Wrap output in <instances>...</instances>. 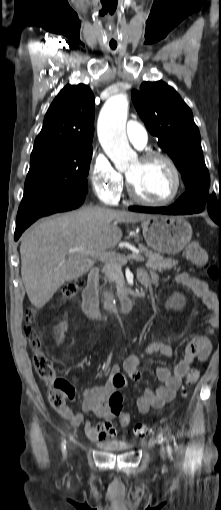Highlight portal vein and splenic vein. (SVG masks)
<instances>
[{
	"label": "portal vein and splenic vein",
	"mask_w": 221,
	"mask_h": 510,
	"mask_svg": "<svg viewBox=\"0 0 221 510\" xmlns=\"http://www.w3.org/2000/svg\"><path fill=\"white\" fill-rule=\"evenodd\" d=\"M79 250H81V248L71 249V250H69V252L71 253V252H76V251H79ZM88 255H90L91 257H96V258H98L100 261H102L104 263H110L113 260H120L123 263H126L128 260H136V261H139V262H143L144 261V257H142L138 253H133V254L125 256V255L116 254L114 252H101V251L95 252V251H90L88 253Z\"/></svg>",
	"instance_id": "1"
}]
</instances>
